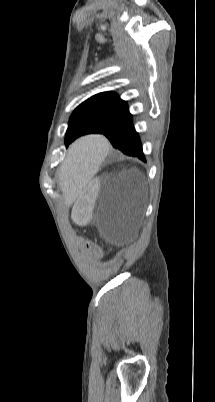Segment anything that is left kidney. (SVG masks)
<instances>
[{"label":"left kidney","mask_w":215,"mask_h":402,"mask_svg":"<svg viewBox=\"0 0 215 402\" xmlns=\"http://www.w3.org/2000/svg\"><path fill=\"white\" fill-rule=\"evenodd\" d=\"M100 192V185L98 180L95 179L94 182L86 186V191L81 194L80 200H76L74 208L73 219L75 222H90L91 220V210L95 207V202L93 201L96 197L95 193ZM80 230H85V225H80Z\"/></svg>","instance_id":"1"}]
</instances>
